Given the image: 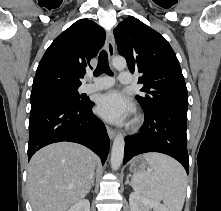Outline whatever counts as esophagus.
<instances>
[{
    "instance_id": "1",
    "label": "esophagus",
    "mask_w": 221,
    "mask_h": 211,
    "mask_svg": "<svg viewBox=\"0 0 221 211\" xmlns=\"http://www.w3.org/2000/svg\"><path fill=\"white\" fill-rule=\"evenodd\" d=\"M106 49H107L108 56L111 59L115 53V43H114V37H113L112 32L107 33ZM107 133L111 140L114 139V137L116 136V131L109 126H107Z\"/></svg>"
}]
</instances>
